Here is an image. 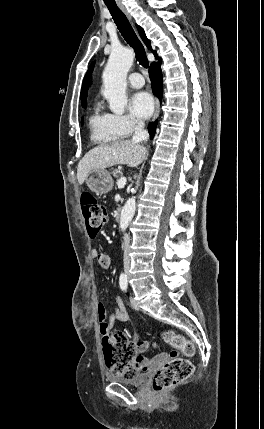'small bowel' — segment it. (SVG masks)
I'll use <instances>...</instances> for the list:
<instances>
[{
	"label": "small bowel",
	"mask_w": 264,
	"mask_h": 429,
	"mask_svg": "<svg viewBox=\"0 0 264 429\" xmlns=\"http://www.w3.org/2000/svg\"><path fill=\"white\" fill-rule=\"evenodd\" d=\"M91 256L93 258L98 259V262H99V265L101 266V268L107 269L110 267L111 258L108 254L100 253V252H98V250L92 249L91 250ZM99 305H103V304L99 303ZM126 320H128L127 310H126L123 302L119 298H117L115 306L113 308V311L109 315L108 320H107V332H109V329L112 328L116 322H118V321L123 322ZM100 331L102 334V344H103V340L105 338V332L101 328H100ZM133 344H134L135 351H136L134 364L137 367L138 371H146V370L162 363L163 361L168 359L170 357V355L172 354L171 353L170 355H168V354L161 353V354L155 355L151 358H147L143 354L152 344H150L148 342H142V341H134Z\"/></svg>",
	"instance_id": "obj_1"
}]
</instances>
